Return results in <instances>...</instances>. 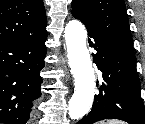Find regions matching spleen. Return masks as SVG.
I'll list each match as a JSON object with an SVG mask.
<instances>
[{
	"label": "spleen",
	"mask_w": 145,
	"mask_h": 124,
	"mask_svg": "<svg viewBox=\"0 0 145 124\" xmlns=\"http://www.w3.org/2000/svg\"><path fill=\"white\" fill-rule=\"evenodd\" d=\"M100 124H125V123L118 120H108L107 122H101Z\"/></svg>",
	"instance_id": "3e777b00"
}]
</instances>
